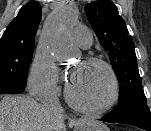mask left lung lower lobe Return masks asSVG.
<instances>
[{
  "instance_id": "1",
  "label": "left lung lower lobe",
  "mask_w": 151,
  "mask_h": 131,
  "mask_svg": "<svg viewBox=\"0 0 151 131\" xmlns=\"http://www.w3.org/2000/svg\"><path fill=\"white\" fill-rule=\"evenodd\" d=\"M100 121L129 124L146 131H151V112L146 100L133 98L103 116Z\"/></svg>"
}]
</instances>
